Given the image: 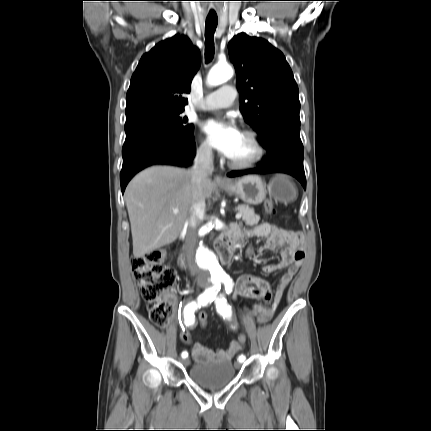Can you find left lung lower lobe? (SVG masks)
<instances>
[{
    "instance_id": "0a47b994",
    "label": "left lung lower lobe",
    "mask_w": 431,
    "mask_h": 431,
    "mask_svg": "<svg viewBox=\"0 0 431 431\" xmlns=\"http://www.w3.org/2000/svg\"><path fill=\"white\" fill-rule=\"evenodd\" d=\"M268 156L260 162V167L232 171L229 177H237L246 174L287 173L297 178L306 189V178L303 167V145L288 141H281L267 150Z\"/></svg>"
}]
</instances>
